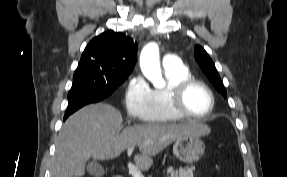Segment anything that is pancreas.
<instances>
[{"label": "pancreas", "mask_w": 287, "mask_h": 177, "mask_svg": "<svg viewBox=\"0 0 287 177\" xmlns=\"http://www.w3.org/2000/svg\"><path fill=\"white\" fill-rule=\"evenodd\" d=\"M194 167L191 168H179L178 170H173V168H168L167 173L169 177H193Z\"/></svg>", "instance_id": "obj_1"}]
</instances>
